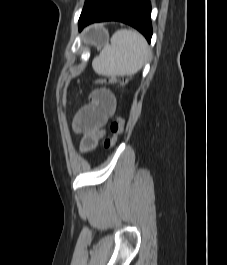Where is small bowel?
<instances>
[{
  "mask_svg": "<svg viewBox=\"0 0 227 265\" xmlns=\"http://www.w3.org/2000/svg\"><path fill=\"white\" fill-rule=\"evenodd\" d=\"M114 110L115 98L109 90L97 89L91 93L90 103L75 118V129L90 133L84 141L85 147H92L97 139L103 137V127Z\"/></svg>",
  "mask_w": 227,
  "mask_h": 265,
  "instance_id": "c3829d8e",
  "label": "small bowel"
}]
</instances>
